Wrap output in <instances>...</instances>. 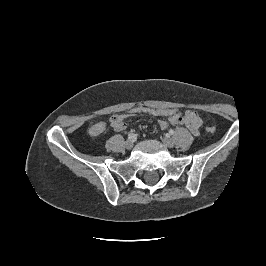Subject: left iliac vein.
<instances>
[{
  "instance_id": "obj_1",
  "label": "left iliac vein",
  "mask_w": 266,
  "mask_h": 266,
  "mask_svg": "<svg viewBox=\"0 0 266 266\" xmlns=\"http://www.w3.org/2000/svg\"><path fill=\"white\" fill-rule=\"evenodd\" d=\"M162 141H163L164 145H166L169 148H172L175 144L174 140L168 136L164 137L162 139Z\"/></svg>"
}]
</instances>
